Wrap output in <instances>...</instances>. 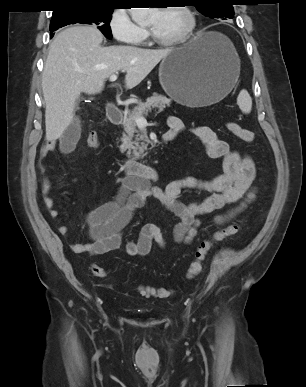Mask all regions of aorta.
Returning <instances> with one entry per match:
<instances>
[{
  "label": "aorta",
  "mask_w": 306,
  "mask_h": 387,
  "mask_svg": "<svg viewBox=\"0 0 306 387\" xmlns=\"http://www.w3.org/2000/svg\"><path fill=\"white\" fill-rule=\"evenodd\" d=\"M152 8H131L132 20L138 24L143 23L152 13Z\"/></svg>",
  "instance_id": "1"
}]
</instances>
